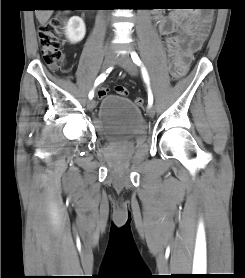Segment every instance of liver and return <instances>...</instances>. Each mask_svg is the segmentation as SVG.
Here are the masks:
<instances>
[{
  "label": "liver",
  "mask_w": 245,
  "mask_h": 278,
  "mask_svg": "<svg viewBox=\"0 0 245 278\" xmlns=\"http://www.w3.org/2000/svg\"><path fill=\"white\" fill-rule=\"evenodd\" d=\"M53 10H36V18L41 25H45L49 18L51 17Z\"/></svg>",
  "instance_id": "6515ba94"
}]
</instances>
